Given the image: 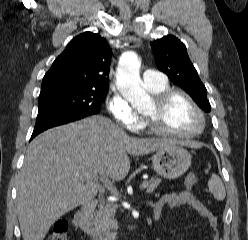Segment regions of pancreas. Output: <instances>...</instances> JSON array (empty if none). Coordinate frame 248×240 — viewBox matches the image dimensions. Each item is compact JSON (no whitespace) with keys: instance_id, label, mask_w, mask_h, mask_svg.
Returning a JSON list of instances; mask_svg holds the SVG:
<instances>
[{"instance_id":"cf45deb5","label":"pancreas","mask_w":248,"mask_h":240,"mask_svg":"<svg viewBox=\"0 0 248 240\" xmlns=\"http://www.w3.org/2000/svg\"><path fill=\"white\" fill-rule=\"evenodd\" d=\"M161 179L152 177L149 181L143 182L147 193H152ZM117 206L112 203L100 205L99 209L92 215V226L89 234L94 240H114L115 233L113 229H117V221L114 219Z\"/></svg>"}]
</instances>
